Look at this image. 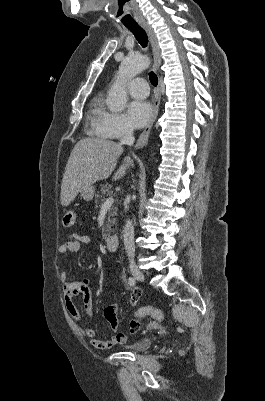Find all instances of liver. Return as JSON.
Listing matches in <instances>:
<instances>
[{"label":"liver","instance_id":"1","mask_svg":"<svg viewBox=\"0 0 265 401\" xmlns=\"http://www.w3.org/2000/svg\"><path fill=\"white\" fill-rule=\"evenodd\" d=\"M123 146L106 138H81L76 142L65 166L61 184V205L68 207L82 188L97 180L108 178L115 170L117 158ZM128 166H134L132 158L125 156L112 180H119Z\"/></svg>","mask_w":265,"mask_h":401}]
</instances>
